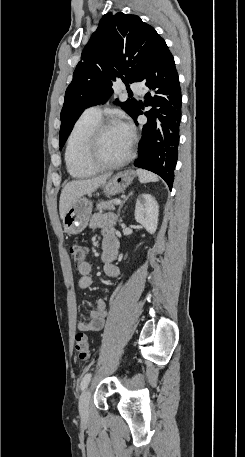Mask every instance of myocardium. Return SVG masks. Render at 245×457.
Wrapping results in <instances>:
<instances>
[{
  "mask_svg": "<svg viewBox=\"0 0 245 457\" xmlns=\"http://www.w3.org/2000/svg\"><path fill=\"white\" fill-rule=\"evenodd\" d=\"M112 127H117V124L113 121H99L96 125H94L91 128V130L88 132L86 136L84 147L79 154V161L82 166L88 168L91 171H101L118 167L131 159L135 143L133 137L130 138V144L127 151L121 157L114 160L103 161L99 163H94L93 161H91L89 157L91 147L94 144H99L105 131Z\"/></svg>",
  "mask_w": 245,
  "mask_h": 457,
  "instance_id": "1",
  "label": "myocardium"
}]
</instances>
